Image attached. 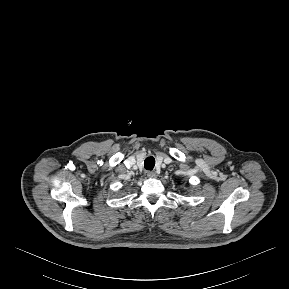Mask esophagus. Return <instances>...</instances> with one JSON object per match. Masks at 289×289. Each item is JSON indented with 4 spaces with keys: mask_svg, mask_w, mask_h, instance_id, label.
<instances>
[{
    "mask_svg": "<svg viewBox=\"0 0 289 289\" xmlns=\"http://www.w3.org/2000/svg\"><path fill=\"white\" fill-rule=\"evenodd\" d=\"M147 176H148L149 178H155V177H156V173H155L154 171H148V172H147Z\"/></svg>",
    "mask_w": 289,
    "mask_h": 289,
    "instance_id": "1",
    "label": "esophagus"
}]
</instances>
